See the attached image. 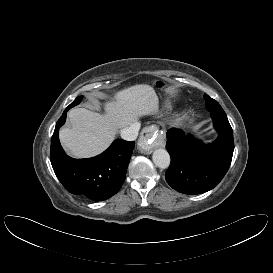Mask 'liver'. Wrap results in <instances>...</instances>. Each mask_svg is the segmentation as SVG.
I'll return each instance as SVG.
<instances>
[{
	"label": "liver",
	"mask_w": 273,
	"mask_h": 273,
	"mask_svg": "<svg viewBox=\"0 0 273 273\" xmlns=\"http://www.w3.org/2000/svg\"><path fill=\"white\" fill-rule=\"evenodd\" d=\"M105 105V114L85 108H73L68 117L71 127L62 128V145L77 158H89L103 152L115 139L118 129L139 117L158 111V96L150 85L140 84L117 92Z\"/></svg>",
	"instance_id": "obj_1"
}]
</instances>
